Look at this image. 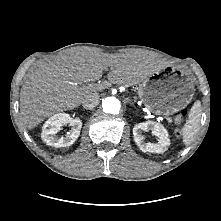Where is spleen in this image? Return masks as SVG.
<instances>
[{
    "label": "spleen",
    "mask_w": 221,
    "mask_h": 221,
    "mask_svg": "<svg viewBox=\"0 0 221 221\" xmlns=\"http://www.w3.org/2000/svg\"><path fill=\"white\" fill-rule=\"evenodd\" d=\"M201 110L198 104H195L189 113V118L181 130L184 145H190L199 130Z\"/></svg>",
    "instance_id": "1"
}]
</instances>
